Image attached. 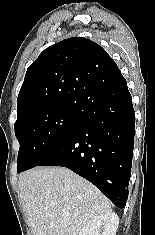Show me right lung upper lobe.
<instances>
[{
	"label": "right lung upper lobe",
	"instance_id": "obj_1",
	"mask_svg": "<svg viewBox=\"0 0 155 235\" xmlns=\"http://www.w3.org/2000/svg\"><path fill=\"white\" fill-rule=\"evenodd\" d=\"M121 74L97 43L73 37L46 48L26 72L17 100V117L44 105L79 108L97 86Z\"/></svg>",
	"mask_w": 155,
	"mask_h": 235
}]
</instances>
